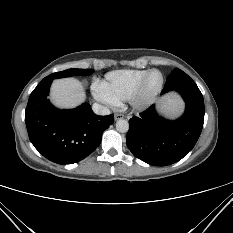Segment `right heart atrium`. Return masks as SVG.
Wrapping results in <instances>:
<instances>
[{
	"label": "right heart atrium",
	"mask_w": 233,
	"mask_h": 233,
	"mask_svg": "<svg viewBox=\"0 0 233 233\" xmlns=\"http://www.w3.org/2000/svg\"><path fill=\"white\" fill-rule=\"evenodd\" d=\"M94 96L97 100L108 104V105H116V101L109 95L106 89L103 87L101 83H96L94 86Z\"/></svg>",
	"instance_id": "obj_1"
}]
</instances>
